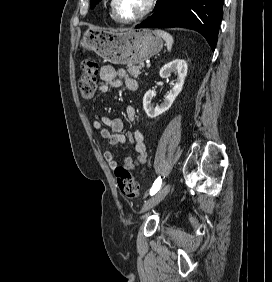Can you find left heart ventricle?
Here are the masks:
<instances>
[{
  "instance_id": "left-heart-ventricle-1",
  "label": "left heart ventricle",
  "mask_w": 272,
  "mask_h": 282,
  "mask_svg": "<svg viewBox=\"0 0 272 282\" xmlns=\"http://www.w3.org/2000/svg\"><path fill=\"white\" fill-rule=\"evenodd\" d=\"M149 0H117L116 8L119 15L129 19L141 14L147 7Z\"/></svg>"
}]
</instances>
